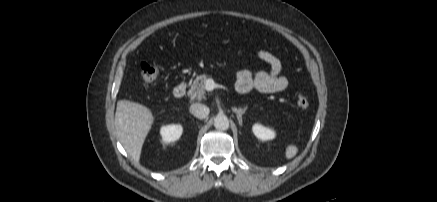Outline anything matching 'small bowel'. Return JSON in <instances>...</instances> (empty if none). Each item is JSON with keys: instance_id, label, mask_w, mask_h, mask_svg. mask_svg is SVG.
Listing matches in <instances>:
<instances>
[{"instance_id": "small-bowel-1", "label": "small bowel", "mask_w": 437, "mask_h": 202, "mask_svg": "<svg viewBox=\"0 0 437 202\" xmlns=\"http://www.w3.org/2000/svg\"><path fill=\"white\" fill-rule=\"evenodd\" d=\"M257 56L269 66V69L255 73L246 69L239 71L235 83L236 91L244 94L253 88L263 93H275L285 90L288 81L281 75L282 64L280 59L267 50L257 51Z\"/></svg>"}]
</instances>
